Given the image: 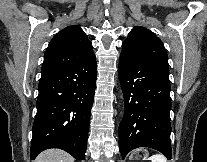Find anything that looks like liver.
Segmentation results:
<instances>
[{
    "mask_svg": "<svg viewBox=\"0 0 207 162\" xmlns=\"http://www.w3.org/2000/svg\"><path fill=\"white\" fill-rule=\"evenodd\" d=\"M34 162H74V158L60 149H48L40 153Z\"/></svg>",
    "mask_w": 207,
    "mask_h": 162,
    "instance_id": "liver-1",
    "label": "liver"
}]
</instances>
